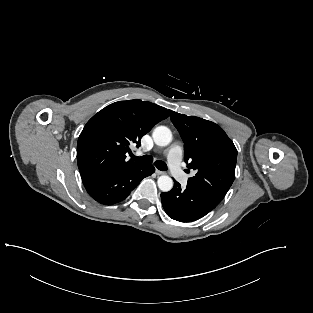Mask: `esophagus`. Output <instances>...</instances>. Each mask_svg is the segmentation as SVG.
Returning <instances> with one entry per match:
<instances>
[{
    "label": "esophagus",
    "mask_w": 313,
    "mask_h": 313,
    "mask_svg": "<svg viewBox=\"0 0 313 313\" xmlns=\"http://www.w3.org/2000/svg\"><path fill=\"white\" fill-rule=\"evenodd\" d=\"M155 173H156L157 175H164V174H165L164 171H160V170H158V169H156Z\"/></svg>",
    "instance_id": "34e87169"
}]
</instances>
